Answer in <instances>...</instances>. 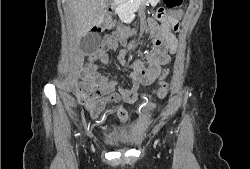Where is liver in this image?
Listing matches in <instances>:
<instances>
[{
  "label": "liver",
  "instance_id": "obj_1",
  "mask_svg": "<svg viewBox=\"0 0 250 169\" xmlns=\"http://www.w3.org/2000/svg\"><path fill=\"white\" fill-rule=\"evenodd\" d=\"M108 2L109 0H70L78 42L94 24H97Z\"/></svg>",
  "mask_w": 250,
  "mask_h": 169
}]
</instances>
